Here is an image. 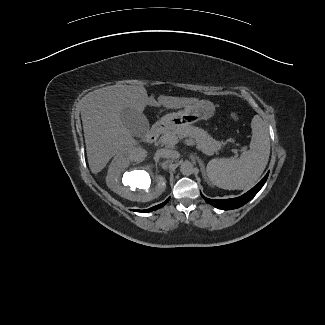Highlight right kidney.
Here are the masks:
<instances>
[{"instance_id": "right-kidney-1", "label": "right kidney", "mask_w": 325, "mask_h": 325, "mask_svg": "<svg viewBox=\"0 0 325 325\" xmlns=\"http://www.w3.org/2000/svg\"><path fill=\"white\" fill-rule=\"evenodd\" d=\"M143 160L127 151L115 156L106 177L107 186L131 201L148 202L160 196L166 188V180L154 173L150 165L142 163Z\"/></svg>"}]
</instances>
